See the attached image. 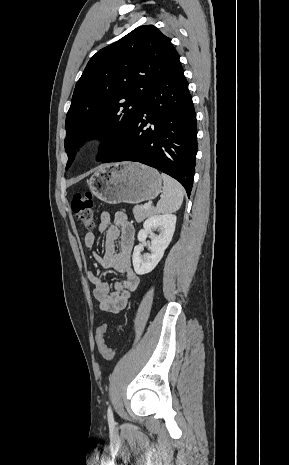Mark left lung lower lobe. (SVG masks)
Wrapping results in <instances>:
<instances>
[{
  "mask_svg": "<svg viewBox=\"0 0 289 465\" xmlns=\"http://www.w3.org/2000/svg\"><path fill=\"white\" fill-rule=\"evenodd\" d=\"M196 153V115L180 66L143 96L140 112L122 142L101 161H136L154 167L178 180L190 196Z\"/></svg>",
  "mask_w": 289,
  "mask_h": 465,
  "instance_id": "0a47b994",
  "label": "left lung lower lobe"
}]
</instances>
